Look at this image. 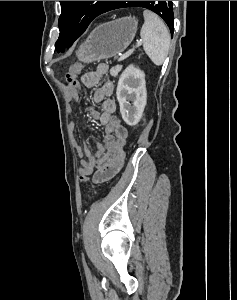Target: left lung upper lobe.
<instances>
[{
	"mask_svg": "<svg viewBox=\"0 0 237 300\" xmlns=\"http://www.w3.org/2000/svg\"><path fill=\"white\" fill-rule=\"evenodd\" d=\"M110 3L111 1H60V35L55 43L56 50L63 52L65 46H71L97 16L105 13ZM120 7L147 8L158 14L167 23L170 31L174 29L172 1H168L163 8L160 7V1H122Z\"/></svg>",
	"mask_w": 237,
	"mask_h": 300,
	"instance_id": "5c2ea615",
	"label": "left lung upper lobe"
}]
</instances>
